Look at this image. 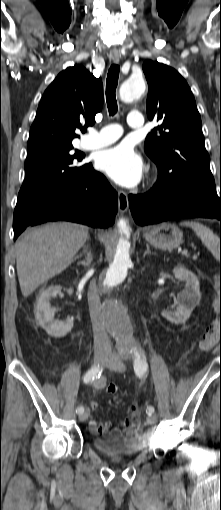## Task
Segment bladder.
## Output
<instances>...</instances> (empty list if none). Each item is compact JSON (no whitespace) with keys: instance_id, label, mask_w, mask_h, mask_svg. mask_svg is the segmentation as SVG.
Instances as JSON below:
<instances>
[{"instance_id":"1","label":"bladder","mask_w":221,"mask_h":510,"mask_svg":"<svg viewBox=\"0 0 221 510\" xmlns=\"http://www.w3.org/2000/svg\"><path fill=\"white\" fill-rule=\"evenodd\" d=\"M93 445L96 450L116 457L134 456L144 451L147 447V444L141 437H121L115 435L94 438Z\"/></svg>"}]
</instances>
